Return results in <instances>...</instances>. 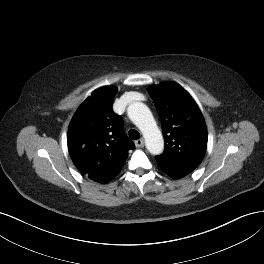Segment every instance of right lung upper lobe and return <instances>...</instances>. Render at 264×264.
Returning <instances> with one entry per match:
<instances>
[{"label": "right lung upper lobe", "mask_w": 264, "mask_h": 264, "mask_svg": "<svg viewBox=\"0 0 264 264\" xmlns=\"http://www.w3.org/2000/svg\"><path fill=\"white\" fill-rule=\"evenodd\" d=\"M114 86L92 93L79 107L68 129V150L83 173L97 172L108 178L118 175L128 151L135 148L123 130V120L112 110Z\"/></svg>", "instance_id": "cb5924a9"}]
</instances>
